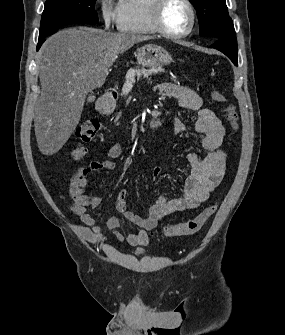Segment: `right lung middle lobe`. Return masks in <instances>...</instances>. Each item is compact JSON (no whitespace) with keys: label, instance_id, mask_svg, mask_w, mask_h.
Here are the masks:
<instances>
[{"label":"right lung middle lobe","instance_id":"right-lung-middle-lobe-1","mask_svg":"<svg viewBox=\"0 0 285 335\" xmlns=\"http://www.w3.org/2000/svg\"><path fill=\"white\" fill-rule=\"evenodd\" d=\"M96 0H46L40 24V38L73 23H97Z\"/></svg>","mask_w":285,"mask_h":335}]
</instances>
